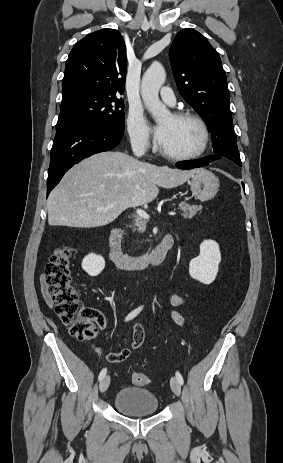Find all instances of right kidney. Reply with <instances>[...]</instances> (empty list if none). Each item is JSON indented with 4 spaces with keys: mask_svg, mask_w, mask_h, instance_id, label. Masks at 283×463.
<instances>
[{
    "mask_svg": "<svg viewBox=\"0 0 283 463\" xmlns=\"http://www.w3.org/2000/svg\"><path fill=\"white\" fill-rule=\"evenodd\" d=\"M82 268L90 276H97L105 268V260L100 255L88 254L82 261Z\"/></svg>",
    "mask_w": 283,
    "mask_h": 463,
    "instance_id": "ca27d5eb",
    "label": "right kidney"
}]
</instances>
